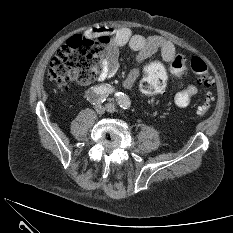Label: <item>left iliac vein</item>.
Instances as JSON below:
<instances>
[{"label": "left iliac vein", "instance_id": "4c4485c4", "mask_svg": "<svg viewBox=\"0 0 233 233\" xmlns=\"http://www.w3.org/2000/svg\"><path fill=\"white\" fill-rule=\"evenodd\" d=\"M106 109L109 113H114L116 111V107L113 103H108Z\"/></svg>", "mask_w": 233, "mask_h": 233}]
</instances>
